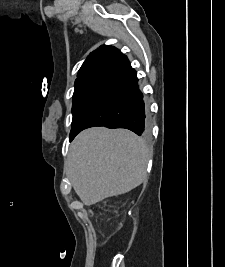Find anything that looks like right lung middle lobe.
Returning <instances> with one entry per match:
<instances>
[{"instance_id": "dd1d6c3e", "label": "right lung middle lobe", "mask_w": 225, "mask_h": 267, "mask_svg": "<svg viewBox=\"0 0 225 267\" xmlns=\"http://www.w3.org/2000/svg\"><path fill=\"white\" fill-rule=\"evenodd\" d=\"M96 81H97V77L84 79L82 81L75 83V89H74V94H73V106H72V114H73L72 128H73L74 121L77 117V113L80 109V106H81L87 92L89 91L91 86ZM71 131H72V129H71Z\"/></svg>"}]
</instances>
